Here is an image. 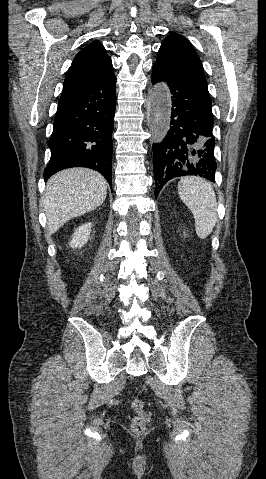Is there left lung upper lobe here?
I'll list each match as a JSON object with an SVG mask.
<instances>
[{
	"instance_id": "left-lung-upper-lobe-1",
	"label": "left lung upper lobe",
	"mask_w": 266,
	"mask_h": 479,
	"mask_svg": "<svg viewBox=\"0 0 266 479\" xmlns=\"http://www.w3.org/2000/svg\"><path fill=\"white\" fill-rule=\"evenodd\" d=\"M155 64L173 76L209 93L201 60L184 36L171 32L162 42Z\"/></svg>"
}]
</instances>
